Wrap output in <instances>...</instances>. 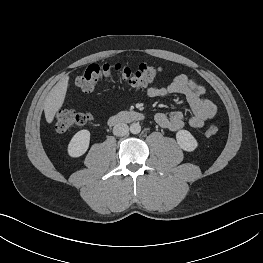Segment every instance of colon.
Returning <instances> with one entry per match:
<instances>
[{
    "mask_svg": "<svg viewBox=\"0 0 263 263\" xmlns=\"http://www.w3.org/2000/svg\"><path fill=\"white\" fill-rule=\"evenodd\" d=\"M160 73V68L142 63L135 68L121 64H92L76 79V85L85 92L93 91L101 81L118 78L133 89H142L150 84ZM91 120L87 113L74 109H60L55 115V126L60 132L86 124ZM218 132L216 125H210L206 130L207 136H214Z\"/></svg>",
    "mask_w": 263,
    "mask_h": 263,
    "instance_id": "colon-1",
    "label": "colon"
}]
</instances>
